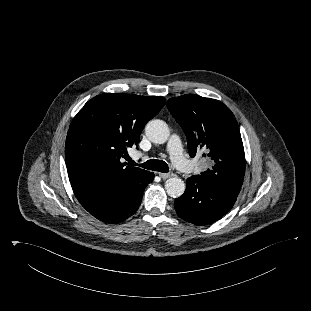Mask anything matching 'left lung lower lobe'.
Wrapping results in <instances>:
<instances>
[{
	"label": "left lung lower lobe",
	"mask_w": 311,
	"mask_h": 311,
	"mask_svg": "<svg viewBox=\"0 0 311 311\" xmlns=\"http://www.w3.org/2000/svg\"><path fill=\"white\" fill-rule=\"evenodd\" d=\"M236 198L195 175L187 179L185 193L175 200V210L185 221L203 226L222 218Z\"/></svg>",
	"instance_id": "1"
}]
</instances>
